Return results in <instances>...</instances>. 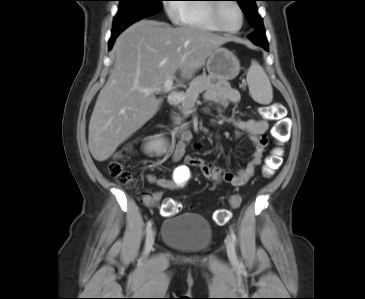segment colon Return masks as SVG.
Segmentation results:
<instances>
[{"label":"colon","mask_w":365,"mask_h":299,"mask_svg":"<svg viewBox=\"0 0 365 299\" xmlns=\"http://www.w3.org/2000/svg\"><path fill=\"white\" fill-rule=\"evenodd\" d=\"M263 114L266 119L275 121L276 124L272 131V136L277 142H283L288 134V124L283 117V107L280 104L268 105L263 108ZM281 164V154L279 151H275L267 160L263 174L265 177H271ZM109 174L117 180L121 185L127 187H133L135 185V179L131 172L127 169L126 165L121 158H116L110 162L108 166ZM181 181H185V177H182ZM149 195L144 193L142 195L143 200L148 201ZM241 202L239 196H234L231 199V206L237 208ZM180 209V205L172 200H165L161 207V214L163 216H172L176 214ZM213 219L217 224H225L230 219V211L228 209H218L213 214Z\"/></svg>","instance_id":"5ec220e1"}]
</instances>
